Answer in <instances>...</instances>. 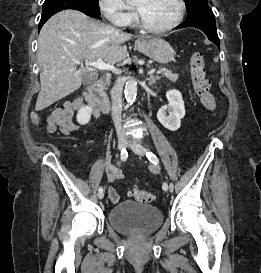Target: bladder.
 <instances>
[{
    "label": "bladder",
    "mask_w": 261,
    "mask_h": 273,
    "mask_svg": "<svg viewBox=\"0 0 261 273\" xmlns=\"http://www.w3.org/2000/svg\"><path fill=\"white\" fill-rule=\"evenodd\" d=\"M161 212L154 206L123 201L108 212V222L125 233H150L162 224Z\"/></svg>",
    "instance_id": "1"
}]
</instances>
